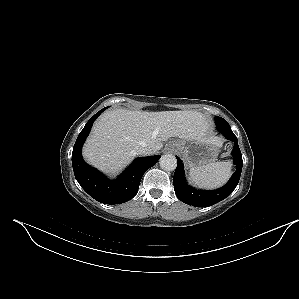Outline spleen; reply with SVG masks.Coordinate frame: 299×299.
I'll list each match as a JSON object with an SVG mask.
<instances>
[{
	"instance_id": "obj_1",
	"label": "spleen",
	"mask_w": 299,
	"mask_h": 299,
	"mask_svg": "<svg viewBox=\"0 0 299 299\" xmlns=\"http://www.w3.org/2000/svg\"><path fill=\"white\" fill-rule=\"evenodd\" d=\"M231 176V163L212 162L190 169V181L199 187L216 188L228 181Z\"/></svg>"
}]
</instances>
